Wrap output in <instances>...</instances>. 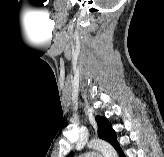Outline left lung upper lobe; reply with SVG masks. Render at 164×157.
<instances>
[{
    "instance_id": "5c2ea615",
    "label": "left lung upper lobe",
    "mask_w": 164,
    "mask_h": 157,
    "mask_svg": "<svg viewBox=\"0 0 164 157\" xmlns=\"http://www.w3.org/2000/svg\"><path fill=\"white\" fill-rule=\"evenodd\" d=\"M96 121L98 125V135L100 138L108 141L113 146L117 143V136L115 131L112 129L111 123L102 116H96ZM74 153L71 152L66 157H73Z\"/></svg>"
}]
</instances>
